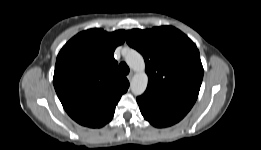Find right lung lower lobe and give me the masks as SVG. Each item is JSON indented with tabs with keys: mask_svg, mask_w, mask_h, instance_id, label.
<instances>
[{
	"mask_svg": "<svg viewBox=\"0 0 261 150\" xmlns=\"http://www.w3.org/2000/svg\"><path fill=\"white\" fill-rule=\"evenodd\" d=\"M113 117V116H112ZM112 117L109 119V120H107L105 123H103L101 126H104L106 123H108L111 119H112ZM100 126V127H101Z\"/></svg>",
	"mask_w": 261,
	"mask_h": 150,
	"instance_id": "1",
	"label": "right lung lower lobe"
}]
</instances>
